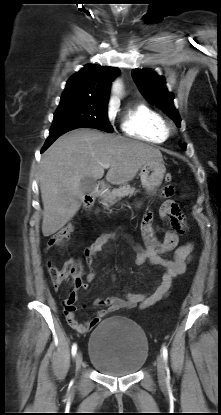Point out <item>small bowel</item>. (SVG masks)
I'll use <instances>...</instances> for the list:
<instances>
[{"instance_id": "1", "label": "small bowel", "mask_w": 221, "mask_h": 415, "mask_svg": "<svg viewBox=\"0 0 221 415\" xmlns=\"http://www.w3.org/2000/svg\"><path fill=\"white\" fill-rule=\"evenodd\" d=\"M176 188H163V197H176ZM160 214L167 218L168 224H172L174 230L166 231L162 241H158L153 231V214L148 211L144 214L141 222L142 233L145 239L146 248H141L139 245L133 244L127 236H124L131 244L132 249L136 252V262L141 264L148 261L155 267L164 268V273L161 275L154 289L147 294L126 293L124 297L109 296L105 299H97L96 305H104L105 309L98 310L93 318L85 323H79L75 318L76 307L74 305L76 294L79 289H87L86 283H80L73 287V291L63 301V309L65 317L69 325L78 332L84 333L89 329L97 326L99 322L108 314L116 312L122 308H136L145 309L165 298L172 286L174 279L183 274L186 270L187 264L191 259L194 246L191 242L178 246L179 237L177 232L184 230V220L178 204L172 200H167L161 207ZM115 238L114 235L103 234L99 236L86 250L85 258L88 265L91 264L93 257L98 254L111 240ZM174 251L171 259H165L162 254ZM95 278L94 273L87 276L89 281ZM115 279V275H112Z\"/></svg>"}]
</instances>
